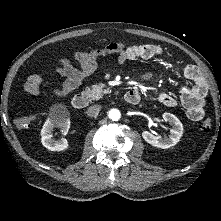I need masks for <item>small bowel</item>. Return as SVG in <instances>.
<instances>
[{
  "label": "small bowel",
  "mask_w": 221,
  "mask_h": 221,
  "mask_svg": "<svg viewBox=\"0 0 221 221\" xmlns=\"http://www.w3.org/2000/svg\"><path fill=\"white\" fill-rule=\"evenodd\" d=\"M160 46L153 44L127 45L123 42H111L99 49L78 51L74 58L77 66L68 59H62L56 73L63 78L61 87L53 90L57 96H68L78 89L98 67V60L110 54H117L118 61L125 63L138 59H151L163 54ZM183 75L190 81L189 85L180 90V101L192 121H200L205 114L204 104L208 86L200 70L194 65L182 69ZM138 92V91H137ZM139 94V92H138ZM157 101L166 107H175L178 101L172 95L160 92Z\"/></svg>",
  "instance_id": "obj_1"
}]
</instances>
